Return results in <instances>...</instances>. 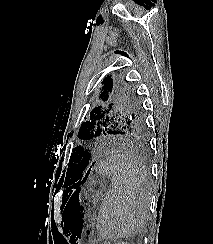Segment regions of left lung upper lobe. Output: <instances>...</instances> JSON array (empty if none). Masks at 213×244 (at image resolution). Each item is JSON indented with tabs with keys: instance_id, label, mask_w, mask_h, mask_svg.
Segmentation results:
<instances>
[{
	"instance_id": "5c2ea615",
	"label": "left lung upper lobe",
	"mask_w": 213,
	"mask_h": 244,
	"mask_svg": "<svg viewBox=\"0 0 213 244\" xmlns=\"http://www.w3.org/2000/svg\"><path fill=\"white\" fill-rule=\"evenodd\" d=\"M102 84L104 87L100 96L103 103L90 112L88 121L81 124L78 137L82 141H89L101 135L143 137L146 132L144 112L133 87L119 83L112 91V79L109 76ZM90 158L91 154L82 146L73 149L66 174V191L80 186Z\"/></svg>"
}]
</instances>
